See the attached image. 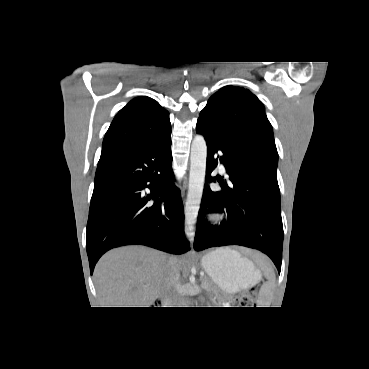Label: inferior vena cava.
Here are the masks:
<instances>
[{
	"label": "inferior vena cava",
	"instance_id": "1",
	"mask_svg": "<svg viewBox=\"0 0 369 369\" xmlns=\"http://www.w3.org/2000/svg\"><path fill=\"white\" fill-rule=\"evenodd\" d=\"M179 270L177 266L169 261L167 264V271L165 282L162 288L163 300L168 302L169 307H176L177 304V289L179 286Z\"/></svg>",
	"mask_w": 369,
	"mask_h": 369
}]
</instances>
